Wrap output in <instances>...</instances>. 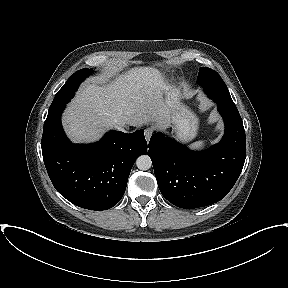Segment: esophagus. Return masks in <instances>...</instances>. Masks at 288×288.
<instances>
[{
	"instance_id": "1",
	"label": "esophagus",
	"mask_w": 288,
	"mask_h": 288,
	"mask_svg": "<svg viewBox=\"0 0 288 288\" xmlns=\"http://www.w3.org/2000/svg\"><path fill=\"white\" fill-rule=\"evenodd\" d=\"M152 135H153V130H152L151 128L145 129V139H146L147 141L150 140V138L152 137Z\"/></svg>"
}]
</instances>
